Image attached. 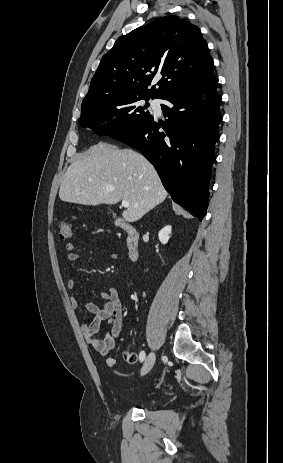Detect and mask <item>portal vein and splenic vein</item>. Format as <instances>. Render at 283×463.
I'll return each mask as SVG.
<instances>
[{"instance_id":"1","label":"portal vein and splenic vein","mask_w":283,"mask_h":463,"mask_svg":"<svg viewBox=\"0 0 283 463\" xmlns=\"http://www.w3.org/2000/svg\"><path fill=\"white\" fill-rule=\"evenodd\" d=\"M122 206H123V207H128V206H129V202L126 201V200H123V201H122Z\"/></svg>"}]
</instances>
